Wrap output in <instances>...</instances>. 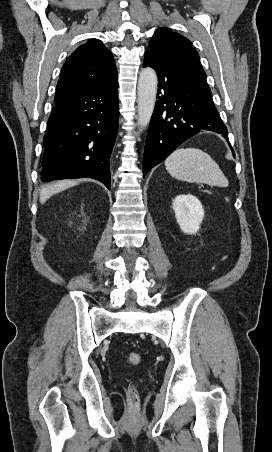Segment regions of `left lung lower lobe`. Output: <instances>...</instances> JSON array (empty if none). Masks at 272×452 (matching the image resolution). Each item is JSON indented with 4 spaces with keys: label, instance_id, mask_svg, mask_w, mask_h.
Wrapping results in <instances>:
<instances>
[{
    "label": "left lung lower lobe",
    "instance_id": "obj_1",
    "mask_svg": "<svg viewBox=\"0 0 272 452\" xmlns=\"http://www.w3.org/2000/svg\"><path fill=\"white\" fill-rule=\"evenodd\" d=\"M143 66L156 71L159 87L146 138L144 176L197 133L214 131L228 139L227 128L214 105L205 78L149 53L145 54Z\"/></svg>",
    "mask_w": 272,
    "mask_h": 452
}]
</instances>
